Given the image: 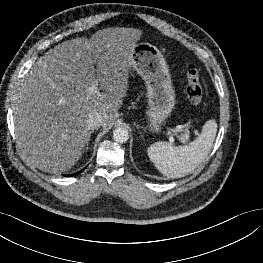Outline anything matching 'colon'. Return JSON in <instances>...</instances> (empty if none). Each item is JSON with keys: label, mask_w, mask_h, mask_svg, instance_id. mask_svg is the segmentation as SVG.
Here are the masks:
<instances>
[{"label": "colon", "mask_w": 263, "mask_h": 263, "mask_svg": "<svg viewBox=\"0 0 263 263\" xmlns=\"http://www.w3.org/2000/svg\"><path fill=\"white\" fill-rule=\"evenodd\" d=\"M186 79V97L192 105L199 106L203 98V89L200 84L199 71L195 65L189 64L187 66Z\"/></svg>", "instance_id": "1"}]
</instances>
